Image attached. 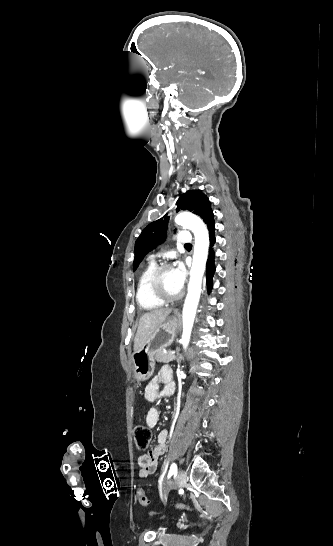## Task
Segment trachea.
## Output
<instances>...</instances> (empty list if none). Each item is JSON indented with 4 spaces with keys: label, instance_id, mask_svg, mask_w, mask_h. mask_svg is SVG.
<instances>
[{
    "label": "trachea",
    "instance_id": "3493384b",
    "mask_svg": "<svg viewBox=\"0 0 333 546\" xmlns=\"http://www.w3.org/2000/svg\"><path fill=\"white\" fill-rule=\"evenodd\" d=\"M190 246H191V244H185V247H190Z\"/></svg>",
    "mask_w": 333,
    "mask_h": 546
}]
</instances>
